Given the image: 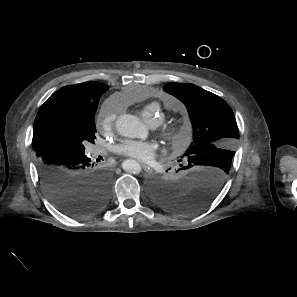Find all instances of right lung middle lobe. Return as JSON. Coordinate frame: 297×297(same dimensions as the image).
I'll return each instance as SVG.
<instances>
[{"label": "right lung middle lobe", "mask_w": 297, "mask_h": 297, "mask_svg": "<svg viewBox=\"0 0 297 297\" xmlns=\"http://www.w3.org/2000/svg\"><path fill=\"white\" fill-rule=\"evenodd\" d=\"M95 113H88L83 120H75L59 114L47 125L42 136L44 150H63L69 153H84V143H94Z\"/></svg>", "instance_id": "1"}]
</instances>
